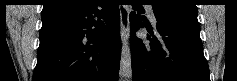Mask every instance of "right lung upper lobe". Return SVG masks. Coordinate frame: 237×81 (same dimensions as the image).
Listing matches in <instances>:
<instances>
[{
  "label": "right lung upper lobe",
  "mask_w": 237,
  "mask_h": 81,
  "mask_svg": "<svg viewBox=\"0 0 237 81\" xmlns=\"http://www.w3.org/2000/svg\"><path fill=\"white\" fill-rule=\"evenodd\" d=\"M88 0H45L41 18L66 14L83 8Z\"/></svg>",
  "instance_id": "1"
}]
</instances>
